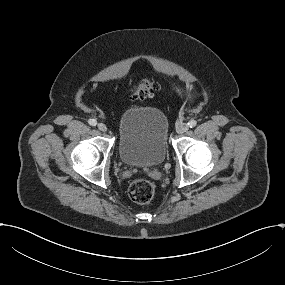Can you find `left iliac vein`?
I'll return each instance as SVG.
<instances>
[{"label": "left iliac vein", "instance_id": "4c4485c4", "mask_svg": "<svg viewBox=\"0 0 285 285\" xmlns=\"http://www.w3.org/2000/svg\"><path fill=\"white\" fill-rule=\"evenodd\" d=\"M189 129V125L187 123L180 124L177 127V133L182 134Z\"/></svg>", "mask_w": 285, "mask_h": 285}]
</instances>
